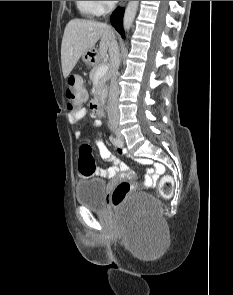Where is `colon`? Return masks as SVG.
I'll use <instances>...</instances> for the list:
<instances>
[{
    "mask_svg": "<svg viewBox=\"0 0 233 295\" xmlns=\"http://www.w3.org/2000/svg\"><path fill=\"white\" fill-rule=\"evenodd\" d=\"M65 96L68 100V109L73 110L76 104L83 102L87 97V91L83 80L78 76H70L65 88ZM79 172L82 176L89 177L95 173L96 166L91 154V147L87 144L82 145L78 164ZM173 181L171 177H163L159 184V194L162 198H169L173 193ZM132 185L128 182L119 183L113 190L111 202L119 205L129 194Z\"/></svg>",
    "mask_w": 233,
    "mask_h": 295,
    "instance_id": "colon-1",
    "label": "colon"
}]
</instances>
